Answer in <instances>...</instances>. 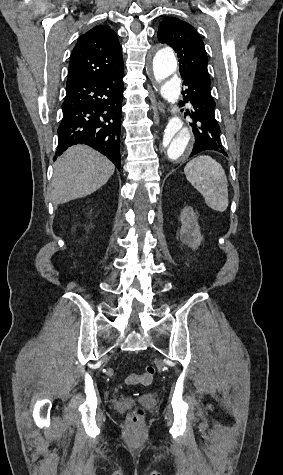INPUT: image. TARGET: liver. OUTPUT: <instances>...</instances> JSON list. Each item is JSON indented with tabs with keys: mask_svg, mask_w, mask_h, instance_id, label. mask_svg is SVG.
Here are the masks:
<instances>
[{
	"mask_svg": "<svg viewBox=\"0 0 283 475\" xmlns=\"http://www.w3.org/2000/svg\"><path fill=\"white\" fill-rule=\"evenodd\" d=\"M115 166L89 146H72L57 158L52 178L53 204L84 198L104 186Z\"/></svg>",
	"mask_w": 283,
	"mask_h": 475,
	"instance_id": "obj_1",
	"label": "liver"
}]
</instances>
